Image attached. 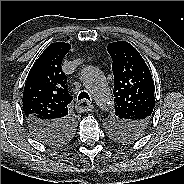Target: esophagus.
Instances as JSON below:
<instances>
[{
  "instance_id": "1",
  "label": "esophagus",
  "mask_w": 184,
  "mask_h": 184,
  "mask_svg": "<svg viewBox=\"0 0 184 184\" xmlns=\"http://www.w3.org/2000/svg\"><path fill=\"white\" fill-rule=\"evenodd\" d=\"M77 110L80 112H88L93 110L94 106L91 104V102H88L86 100H80L77 102Z\"/></svg>"
}]
</instances>
